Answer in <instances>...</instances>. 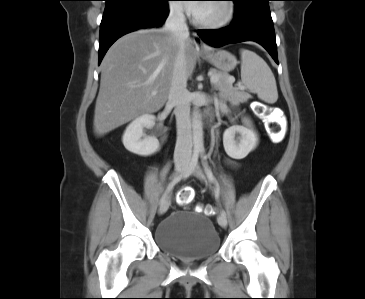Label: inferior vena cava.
I'll return each mask as SVG.
<instances>
[{
    "instance_id": "602c4592",
    "label": "inferior vena cava",
    "mask_w": 365,
    "mask_h": 299,
    "mask_svg": "<svg viewBox=\"0 0 365 299\" xmlns=\"http://www.w3.org/2000/svg\"><path fill=\"white\" fill-rule=\"evenodd\" d=\"M165 30L172 33L178 43L168 102L175 106L177 141L174 158H190L192 153V126L190 120V96L187 90L185 41L189 37L186 19L181 8L170 9Z\"/></svg>"
}]
</instances>
